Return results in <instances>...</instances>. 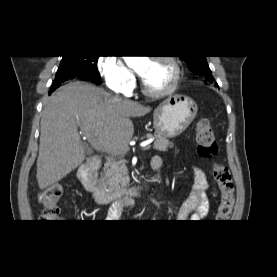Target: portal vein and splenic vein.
I'll list each match as a JSON object with an SVG mask.
<instances>
[{
  "label": "portal vein and splenic vein",
  "mask_w": 277,
  "mask_h": 277,
  "mask_svg": "<svg viewBox=\"0 0 277 277\" xmlns=\"http://www.w3.org/2000/svg\"><path fill=\"white\" fill-rule=\"evenodd\" d=\"M86 137H87V139H88V141H89V143L91 144V146L93 147V148H95L96 150H99V151H102L103 150V148H102V146L100 145V143L97 141V139L96 138H94L92 135H90V134H84ZM153 140H149V142H147L146 144H144L143 146H142V148H141V150H149L150 149V143L152 142Z\"/></svg>",
  "instance_id": "portal-vein-and-splenic-vein-1"
}]
</instances>
